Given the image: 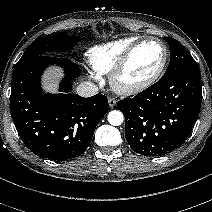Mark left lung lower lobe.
<instances>
[{
    "mask_svg": "<svg viewBox=\"0 0 212 212\" xmlns=\"http://www.w3.org/2000/svg\"><path fill=\"white\" fill-rule=\"evenodd\" d=\"M202 102L198 67L181 70L118 102L125 116V137L144 156H162L179 148L189 136Z\"/></svg>",
    "mask_w": 212,
    "mask_h": 212,
    "instance_id": "1",
    "label": "left lung lower lobe"
}]
</instances>
